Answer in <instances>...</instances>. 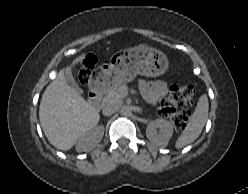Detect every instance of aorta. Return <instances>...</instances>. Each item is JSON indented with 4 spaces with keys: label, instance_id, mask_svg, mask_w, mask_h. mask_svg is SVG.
<instances>
[{
    "label": "aorta",
    "instance_id": "762f6f07",
    "mask_svg": "<svg viewBox=\"0 0 248 194\" xmlns=\"http://www.w3.org/2000/svg\"><path fill=\"white\" fill-rule=\"evenodd\" d=\"M121 113L123 116H131L132 115V109L128 106L123 107V109L121 110Z\"/></svg>",
    "mask_w": 248,
    "mask_h": 194
}]
</instances>
